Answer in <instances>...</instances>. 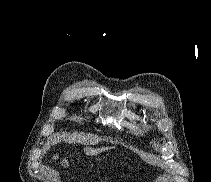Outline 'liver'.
Returning a JSON list of instances; mask_svg holds the SVG:
<instances>
[{"label":"liver","instance_id":"liver-1","mask_svg":"<svg viewBox=\"0 0 211 182\" xmlns=\"http://www.w3.org/2000/svg\"><path fill=\"white\" fill-rule=\"evenodd\" d=\"M103 150H104L103 148L94 149V148H90V147H87L84 149L86 155H89V156L97 155L98 153L102 152Z\"/></svg>","mask_w":211,"mask_h":182}]
</instances>
